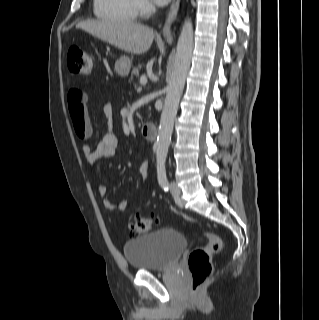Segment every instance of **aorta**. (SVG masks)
<instances>
[{
	"label": "aorta",
	"instance_id": "762f6f07",
	"mask_svg": "<svg viewBox=\"0 0 319 320\" xmlns=\"http://www.w3.org/2000/svg\"><path fill=\"white\" fill-rule=\"evenodd\" d=\"M193 43V26L191 20L187 18L184 21L178 39L174 65L167 86L164 107L161 114L156 143L157 167L165 166L179 101L190 68Z\"/></svg>",
	"mask_w": 319,
	"mask_h": 320
}]
</instances>
